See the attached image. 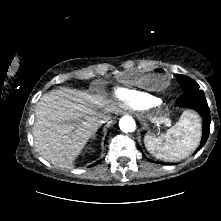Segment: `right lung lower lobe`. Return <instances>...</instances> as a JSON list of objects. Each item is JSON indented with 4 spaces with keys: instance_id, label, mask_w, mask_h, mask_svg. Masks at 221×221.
<instances>
[{
    "instance_id": "obj_1",
    "label": "right lung lower lobe",
    "mask_w": 221,
    "mask_h": 221,
    "mask_svg": "<svg viewBox=\"0 0 221 221\" xmlns=\"http://www.w3.org/2000/svg\"><path fill=\"white\" fill-rule=\"evenodd\" d=\"M101 161V160H100ZM100 161H98V162H96V163H94V165H97Z\"/></svg>"
}]
</instances>
